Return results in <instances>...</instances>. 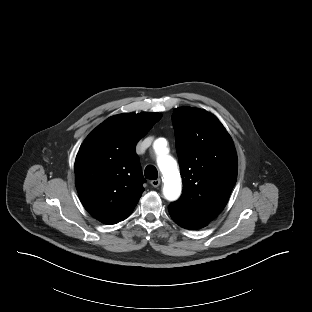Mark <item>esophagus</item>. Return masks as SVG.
I'll return each mask as SVG.
<instances>
[{
  "instance_id": "esophagus-1",
  "label": "esophagus",
  "mask_w": 312,
  "mask_h": 312,
  "mask_svg": "<svg viewBox=\"0 0 312 312\" xmlns=\"http://www.w3.org/2000/svg\"><path fill=\"white\" fill-rule=\"evenodd\" d=\"M151 185L153 186V187H158L159 185H160V183H161V180L160 179H156V180H152L151 182Z\"/></svg>"
}]
</instances>
